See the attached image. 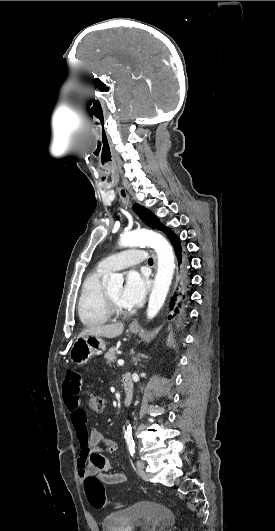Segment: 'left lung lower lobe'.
Here are the masks:
<instances>
[{
  "instance_id": "obj_1",
  "label": "left lung lower lobe",
  "mask_w": 275,
  "mask_h": 531,
  "mask_svg": "<svg viewBox=\"0 0 275 531\" xmlns=\"http://www.w3.org/2000/svg\"><path fill=\"white\" fill-rule=\"evenodd\" d=\"M164 233L169 238L171 244L174 247L179 266V279L168 307L169 312L171 313V315H169L170 319L183 313L189 285V280L187 277L189 260L185 249L180 243L179 237L175 233H173L169 228H166Z\"/></svg>"
}]
</instances>
